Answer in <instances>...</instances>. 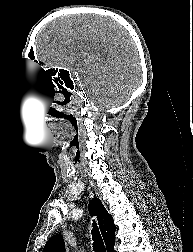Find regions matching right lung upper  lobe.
<instances>
[{
  "label": "right lung upper lobe",
  "mask_w": 193,
  "mask_h": 252,
  "mask_svg": "<svg viewBox=\"0 0 193 252\" xmlns=\"http://www.w3.org/2000/svg\"><path fill=\"white\" fill-rule=\"evenodd\" d=\"M88 210L91 216L95 215L104 238L107 252H112L115 243V225L112 216L107 212L99 198L89 202ZM65 243L61 235H53L46 243L43 252H64Z\"/></svg>",
  "instance_id": "right-lung-upper-lobe-1"
}]
</instances>
